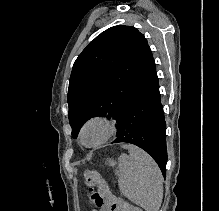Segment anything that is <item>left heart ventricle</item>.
<instances>
[{
    "instance_id": "left-heart-ventricle-1",
    "label": "left heart ventricle",
    "mask_w": 219,
    "mask_h": 211,
    "mask_svg": "<svg viewBox=\"0 0 219 211\" xmlns=\"http://www.w3.org/2000/svg\"><path fill=\"white\" fill-rule=\"evenodd\" d=\"M102 135V127L99 125L89 126L83 135V141L85 144H94L96 143Z\"/></svg>"
}]
</instances>
